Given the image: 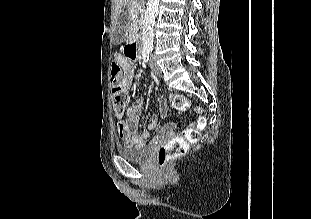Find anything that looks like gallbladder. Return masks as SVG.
Wrapping results in <instances>:
<instances>
[{
    "instance_id": "obj_1",
    "label": "gallbladder",
    "mask_w": 311,
    "mask_h": 219,
    "mask_svg": "<svg viewBox=\"0 0 311 219\" xmlns=\"http://www.w3.org/2000/svg\"><path fill=\"white\" fill-rule=\"evenodd\" d=\"M127 28V16L122 14L119 16L116 27L113 31V42L119 44L124 40L125 30Z\"/></svg>"
}]
</instances>
